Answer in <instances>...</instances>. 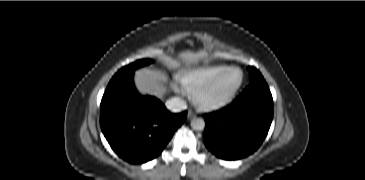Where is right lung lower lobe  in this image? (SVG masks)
<instances>
[{"mask_svg":"<svg viewBox=\"0 0 365 180\" xmlns=\"http://www.w3.org/2000/svg\"><path fill=\"white\" fill-rule=\"evenodd\" d=\"M133 72L114 76L102 97L100 126L115 153L132 164L157 157L185 120L187 111L170 113L155 97L141 96Z\"/></svg>","mask_w":365,"mask_h":180,"instance_id":"1","label":"right lung lower lobe"}]
</instances>
